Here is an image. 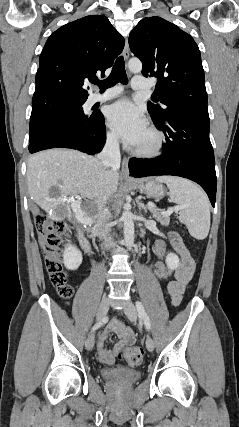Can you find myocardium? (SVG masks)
<instances>
[{
  "instance_id": "myocardium-1",
  "label": "myocardium",
  "mask_w": 239,
  "mask_h": 427,
  "mask_svg": "<svg viewBox=\"0 0 239 427\" xmlns=\"http://www.w3.org/2000/svg\"><path fill=\"white\" fill-rule=\"evenodd\" d=\"M148 131L153 137L152 143L147 147H133L131 152L142 158H155L159 156L164 149L165 138L163 133L154 125H149L147 127Z\"/></svg>"
}]
</instances>
